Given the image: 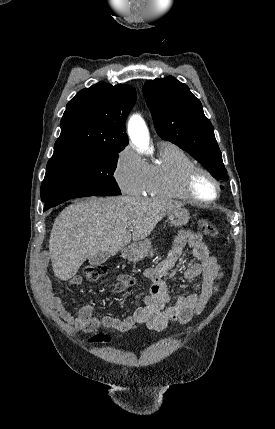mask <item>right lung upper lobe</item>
Returning <instances> with one entry per match:
<instances>
[{"instance_id": "obj_1", "label": "right lung upper lobe", "mask_w": 275, "mask_h": 429, "mask_svg": "<svg viewBox=\"0 0 275 429\" xmlns=\"http://www.w3.org/2000/svg\"><path fill=\"white\" fill-rule=\"evenodd\" d=\"M135 101L129 85L99 82L82 89L66 106L54 153L123 150L128 144L125 118Z\"/></svg>"}]
</instances>
